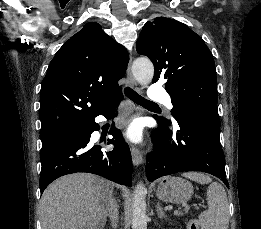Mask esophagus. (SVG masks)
I'll list each match as a JSON object with an SVG mask.
<instances>
[{"mask_svg":"<svg viewBox=\"0 0 261 229\" xmlns=\"http://www.w3.org/2000/svg\"><path fill=\"white\" fill-rule=\"evenodd\" d=\"M131 64H132V56L130 55L126 77H127L128 83L132 87H134L136 85V82H135L134 76L132 74ZM131 156H132L133 164L136 167H139L142 164V162H143V155H142L141 149L138 146L132 145V147H131Z\"/></svg>","mask_w":261,"mask_h":229,"instance_id":"obj_1","label":"esophagus"}]
</instances>
